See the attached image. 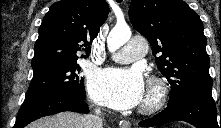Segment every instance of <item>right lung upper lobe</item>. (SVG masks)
Returning <instances> with one entry per match:
<instances>
[{
	"label": "right lung upper lobe",
	"mask_w": 221,
	"mask_h": 128,
	"mask_svg": "<svg viewBox=\"0 0 221 128\" xmlns=\"http://www.w3.org/2000/svg\"><path fill=\"white\" fill-rule=\"evenodd\" d=\"M109 12L105 0H61L42 20L32 59L34 73L75 63L97 37Z\"/></svg>",
	"instance_id": "obj_1"
}]
</instances>
